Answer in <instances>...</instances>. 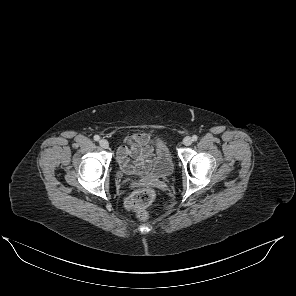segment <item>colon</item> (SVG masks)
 <instances>
[{
  "instance_id": "5ec220e1",
  "label": "colon",
  "mask_w": 296,
  "mask_h": 296,
  "mask_svg": "<svg viewBox=\"0 0 296 296\" xmlns=\"http://www.w3.org/2000/svg\"><path fill=\"white\" fill-rule=\"evenodd\" d=\"M154 192L151 189L145 188L133 192L126 201V206L140 216H146V208L154 200Z\"/></svg>"
}]
</instances>
